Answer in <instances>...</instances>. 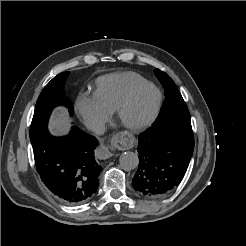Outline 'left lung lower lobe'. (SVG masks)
<instances>
[{
    "instance_id": "left-lung-lower-lobe-1",
    "label": "left lung lower lobe",
    "mask_w": 246,
    "mask_h": 246,
    "mask_svg": "<svg viewBox=\"0 0 246 246\" xmlns=\"http://www.w3.org/2000/svg\"><path fill=\"white\" fill-rule=\"evenodd\" d=\"M194 149L191 123L152 126L139 135L133 187L148 198L170 193L182 181Z\"/></svg>"
}]
</instances>
